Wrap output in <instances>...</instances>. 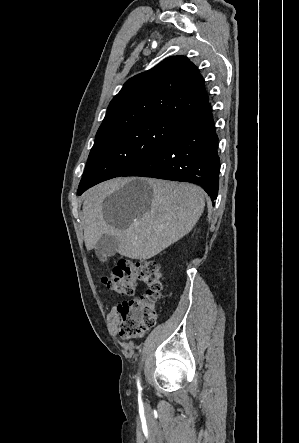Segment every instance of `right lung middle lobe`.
Masks as SVG:
<instances>
[{
    "label": "right lung middle lobe",
    "instance_id": "dd1d6c3e",
    "mask_svg": "<svg viewBox=\"0 0 299 443\" xmlns=\"http://www.w3.org/2000/svg\"><path fill=\"white\" fill-rule=\"evenodd\" d=\"M180 120L144 118L97 135L78 187V195L111 178L123 176L157 150L175 133Z\"/></svg>",
    "mask_w": 299,
    "mask_h": 443
}]
</instances>
